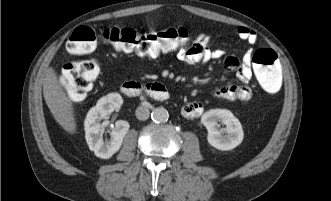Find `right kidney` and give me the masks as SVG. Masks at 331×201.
Wrapping results in <instances>:
<instances>
[{
    "label": "right kidney",
    "mask_w": 331,
    "mask_h": 201,
    "mask_svg": "<svg viewBox=\"0 0 331 201\" xmlns=\"http://www.w3.org/2000/svg\"><path fill=\"white\" fill-rule=\"evenodd\" d=\"M123 99L119 93H109L98 100L85 118V138L89 149L102 159H109L119 151L123 138L127 134L130 125L127 121L118 120L110 133V138L103 140L105 125L100 121L119 108Z\"/></svg>",
    "instance_id": "right-kidney-1"
}]
</instances>
